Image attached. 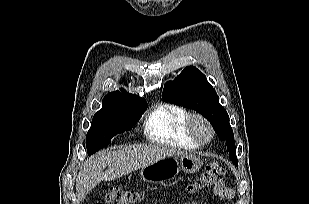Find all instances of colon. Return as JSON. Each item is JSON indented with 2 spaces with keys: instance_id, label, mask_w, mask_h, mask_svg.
<instances>
[{
  "instance_id": "obj_1",
  "label": "colon",
  "mask_w": 309,
  "mask_h": 204,
  "mask_svg": "<svg viewBox=\"0 0 309 204\" xmlns=\"http://www.w3.org/2000/svg\"><path fill=\"white\" fill-rule=\"evenodd\" d=\"M225 176L224 168L216 161L209 163L200 177L191 185V192H200L222 182ZM141 198L137 191L120 187L109 188L106 201L108 204H135ZM101 204V203H97Z\"/></svg>"
}]
</instances>
